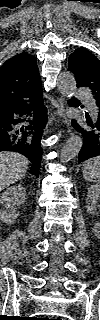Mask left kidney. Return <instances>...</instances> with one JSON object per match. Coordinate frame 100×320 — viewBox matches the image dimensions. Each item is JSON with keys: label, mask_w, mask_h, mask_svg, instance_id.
I'll use <instances>...</instances> for the list:
<instances>
[{"label": "left kidney", "mask_w": 100, "mask_h": 320, "mask_svg": "<svg viewBox=\"0 0 100 320\" xmlns=\"http://www.w3.org/2000/svg\"><path fill=\"white\" fill-rule=\"evenodd\" d=\"M100 198V185H93L88 189L87 199H86V208L87 212L92 215H99L98 211V200ZM95 229H97L95 227Z\"/></svg>", "instance_id": "obj_1"}]
</instances>
